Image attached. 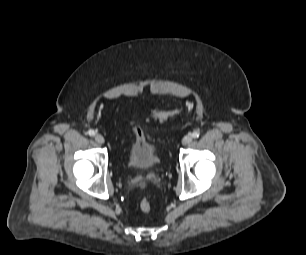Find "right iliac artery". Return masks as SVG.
Listing matches in <instances>:
<instances>
[{
  "mask_svg": "<svg viewBox=\"0 0 306 255\" xmlns=\"http://www.w3.org/2000/svg\"><path fill=\"white\" fill-rule=\"evenodd\" d=\"M88 134H89L90 136H94V135H95V131H94V130H89V131H88Z\"/></svg>",
  "mask_w": 306,
  "mask_h": 255,
  "instance_id": "obj_1",
  "label": "right iliac artery"
}]
</instances>
